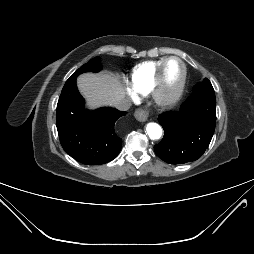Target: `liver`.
Here are the masks:
<instances>
[{
  "label": "liver",
  "mask_w": 254,
  "mask_h": 254,
  "mask_svg": "<svg viewBox=\"0 0 254 254\" xmlns=\"http://www.w3.org/2000/svg\"><path fill=\"white\" fill-rule=\"evenodd\" d=\"M77 84L90 107L112 105L125 95L118 79L108 73L82 74L78 77Z\"/></svg>",
  "instance_id": "1"
}]
</instances>
